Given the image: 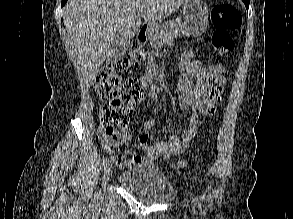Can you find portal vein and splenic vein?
<instances>
[{"mask_svg":"<svg viewBox=\"0 0 293 219\" xmlns=\"http://www.w3.org/2000/svg\"><path fill=\"white\" fill-rule=\"evenodd\" d=\"M138 16H141L142 17L143 16V13H139Z\"/></svg>","mask_w":293,"mask_h":219,"instance_id":"1","label":"portal vein and splenic vein"}]
</instances>
